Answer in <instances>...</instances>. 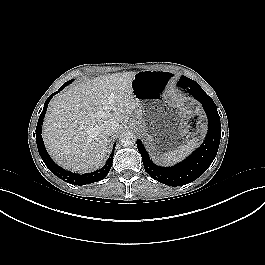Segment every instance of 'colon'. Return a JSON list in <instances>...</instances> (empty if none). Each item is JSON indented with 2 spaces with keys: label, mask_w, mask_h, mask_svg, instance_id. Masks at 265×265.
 <instances>
[{
  "label": "colon",
  "mask_w": 265,
  "mask_h": 265,
  "mask_svg": "<svg viewBox=\"0 0 265 265\" xmlns=\"http://www.w3.org/2000/svg\"><path fill=\"white\" fill-rule=\"evenodd\" d=\"M188 112L191 114L188 121V131L190 134H194L198 131L200 125V116L197 113H193L192 109L189 107Z\"/></svg>",
  "instance_id": "colon-1"
}]
</instances>
